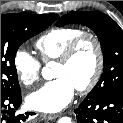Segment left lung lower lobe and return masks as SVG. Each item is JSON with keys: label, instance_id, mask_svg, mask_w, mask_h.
I'll return each mask as SVG.
<instances>
[{"label": "left lung lower lobe", "instance_id": "1", "mask_svg": "<svg viewBox=\"0 0 123 123\" xmlns=\"http://www.w3.org/2000/svg\"><path fill=\"white\" fill-rule=\"evenodd\" d=\"M74 112L78 123H123V91L87 95Z\"/></svg>", "mask_w": 123, "mask_h": 123}]
</instances>
